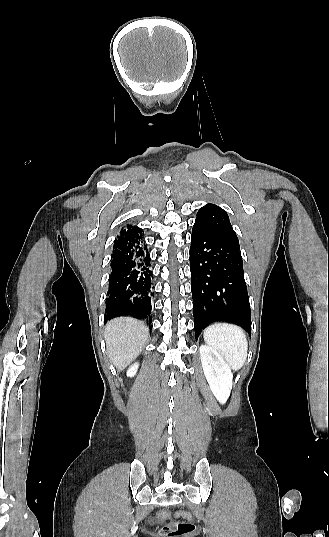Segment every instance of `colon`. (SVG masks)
Wrapping results in <instances>:
<instances>
[{
    "mask_svg": "<svg viewBox=\"0 0 329 537\" xmlns=\"http://www.w3.org/2000/svg\"><path fill=\"white\" fill-rule=\"evenodd\" d=\"M160 518L168 520L172 518L173 513L164 509L159 513ZM176 516L181 521H172L163 526L161 532L165 537H188L196 531V526L190 519V514L186 511L176 512Z\"/></svg>",
    "mask_w": 329,
    "mask_h": 537,
    "instance_id": "colon-1",
    "label": "colon"
}]
</instances>
